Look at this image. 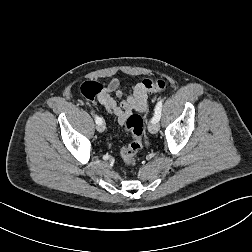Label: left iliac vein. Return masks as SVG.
I'll use <instances>...</instances> for the list:
<instances>
[{"label":"left iliac vein","instance_id":"4c4485c4","mask_svg":"<svg viewBox=\"0 0 252 252\" xmlns=\"http://www.w3.org/2000/svg\"><path fill=\"white\" fill-rule=\"evenodd\" d=\"M148 130L155 134L159 131V124L157 122L151 121L148 125Z\"/></svg>","mask_w":252,"mask_h":252}]
</instances>
